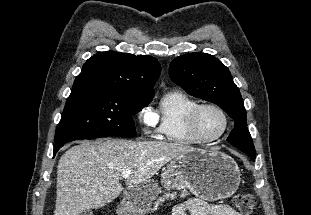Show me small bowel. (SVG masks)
Here are the masks:
<instances>
[{"label": "small bowel", "mask_w": 311, "mask_h": 215, "mask_svg": "<svg viewBox=\"0 0 311 215\" xmlns=\"http://www.w3.org/2000/svg\"><path fill=\"white\" fill-rule=\"evenodd\" d=\"M241 215L226 204L211 205L199 198H191L186 202L177 204L172 215Z\"/></svg>", "instance_id": "small-bowel-1"}]
</instances>
